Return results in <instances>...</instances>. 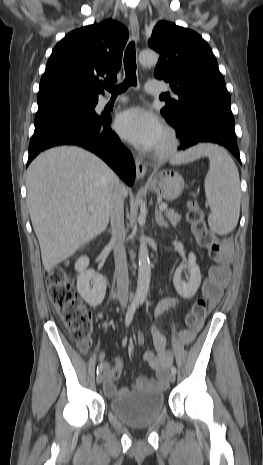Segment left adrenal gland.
<instances>
[{
    "label": "left adrenal gland",
    "mask_w": 263,
    "mask_h": 465,
    "mask_svg": "<svg viewBox=\"0 0 263 465\" xmlns=\"http://www.w3.org/2000/svg\"><path fill=\"white\" fill-rule=\"evenodd\" d=\"M155 221L160 227H168V223L164 220V217L157 206L155 207Z\"/></svg>",
    "instance_id": "obj_1"
}]
</instances>
